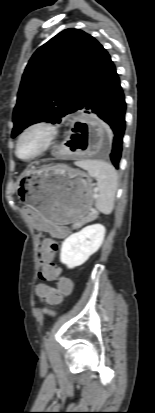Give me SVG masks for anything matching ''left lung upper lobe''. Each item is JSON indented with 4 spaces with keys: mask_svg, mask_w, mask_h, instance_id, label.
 Segmentation results:
<instances>
[{
    "mask_svg": "<svg viewBox=\"0 0 155 413\" xmlns=\"http://www.w3.org/2000/svg\"><path fill=\"white\" fill-rule=\"evenodd\" d=\"M108 53L91 35L66 29L31 57L13 112L12 138L31 124L59 123L81 102Z\"/></svg>",
    "mask_w": 155,
    "mask_h": 413,
    "instance_id": "1",
    "label": "left lung upper lobe"
}]
</instances>
